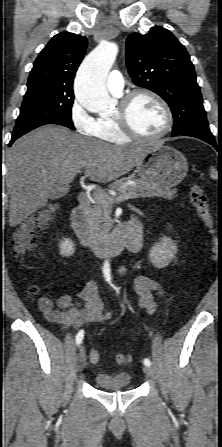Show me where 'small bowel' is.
<instances>
[{"label": "small bowel", "mask_w": 222, "mask_h": 447, "mask_svg": "<svg viewBox=\"0 0 222 447\" xmlns=\"http://www.w3.org/2000/svg\"><path fill=\"white\" fill-rule=\"evenodd\" d=\"M118 272L124 276L126 269L121 266ZM134 290L139 306L149 313L156 309V299L164 295L163 286L145 275L135 279ZM37 307L48 321L58 323L65 329L78 328L87 323H104L113 316L111 312L104 310L95 282H88L78 293L77 298L62 295L53 301L47 296H42L37 301Z\"/></svg>", "instance_id": "c3829d8e"}]
</instances>
